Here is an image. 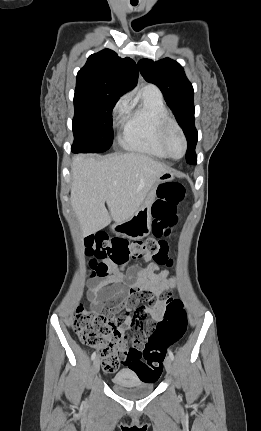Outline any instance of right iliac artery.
<instances>
[{
  "mask_svg": "<svg viewBox=\"0 0 261 431\" xmlns=\"http://www.w3.org/2000/svg\"><path fill=\"white\" fill-rule=\"evenodd\" d=\"M96 358V352H93L91 359L94 360Z\"/></svg>",
  "mask_w": 261,
  "mask_h": 431,
  "instance_id": "1",
  "label": "right iliac artery"
}]
</instances>
